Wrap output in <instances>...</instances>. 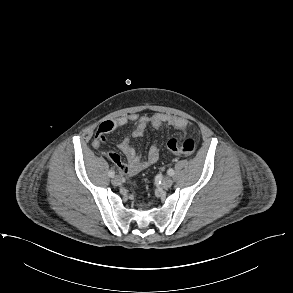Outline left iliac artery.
Returning <instances> with one entry per match:
<instances>
[{
    "label": "left iliac artery",
    "instance_id": "1",
    "mask_svg": "<svg viewBox=\"0 0 293 293\" xmlns=\"http://www.w3.org/2000/svg\"><path fill=\"white\" fill-rule=\"evenodd\" d=\"M167 173H168L169 176H172V175H174V170L173 169H169L167 171Z\"/></svg>",
    "mask_w": 293,
    "mask_h": 293
}]
</instances>
